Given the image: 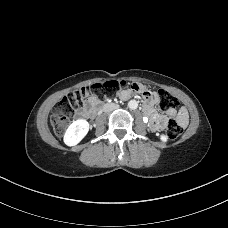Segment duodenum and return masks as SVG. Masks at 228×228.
<instances>
[{"instance_id":"1","label":"duodenum","mask_w":228,"mask_h":228,"mask_svg":"<svg viewBox=\"0 0 228 228\" xmlns=\"http://www.w3.org/2000/svg\"><path fill=\"white\" fill-rule=\"evenodd\" d=\"M105 106L117 107V105L115 103H102L100 105H97V107L95 108L94 112L91 115L95 116L97 114V111H99L101 108H103ZM157 123H158L157 119H154V118L150 117L148 126H149L150 129H154V125H156Z\"/></svg>"}]
</instances>
